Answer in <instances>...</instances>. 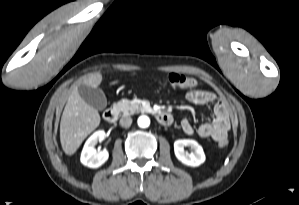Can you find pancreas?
Listing matches in <instances>:
<instances>
[{"instance_id":"pancreas-1","label":"pancreas","mask_w":299,"mask_h":205,"mask_svg":"<svg viewBox=\"0 0 299 205\" xmlns=\"http://www.w3.org/2000/svg\"><path fill=\"white\" fill-rule=\"evenodd\" d=\"M114 108L121 111L123 115H133L139 112H145L144 108L133 100H121L113 105Z\"/></svg>"}]
</instances>
